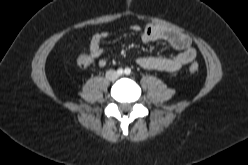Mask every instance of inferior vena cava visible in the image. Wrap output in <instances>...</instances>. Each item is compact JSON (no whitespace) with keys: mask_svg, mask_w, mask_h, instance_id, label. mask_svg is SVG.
<instances>
[{"mask_svg":"<svg viewBox=\"0 0 248 165\" xmlns=\"http://www.w3.org/2000/svg\"><path fill=\"white\" fill-rule=\"evenodd\" d=\"M106 78L111 80V81H114L118 78V74L114 70H109L106 72Z\"/></svg>","mask_w":248,"mask_h":165,"instance_id":"inferior-vena-cava-1","label":"inferior vena cava"}]
</instances>
